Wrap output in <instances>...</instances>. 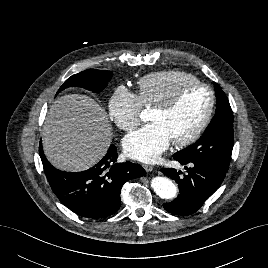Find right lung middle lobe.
<instances>
[{
	"label": "right lung middle lobe",
	"instance_id": "obj_1",
	"mask_svg": "<svg viewBox=\"0 0 268 268\" xmlns=\"http://www.w3.org/2000/svg\"><path fill=\"white\" fill-rule=\"evenodd\" d=\"M112 78V73L107 70L89 69L68 78L57 93L70 86L82 87L93 92H100Z\"/></svg>",
	"mask_w": 268,
	"mask_h": 268
}]
</instances>
